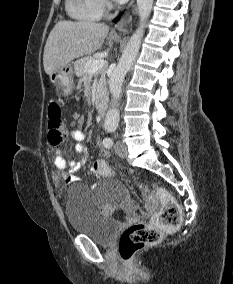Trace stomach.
<instances>
[{
  "label": "stomach",
  "instance_id": "stomach-1",
  "mask_svg": "<svg viewBox=\"0 0 233 284\" xmlns=\"http://www.w3.org/2000/svg\"><path fill=\"white\" fill-rule=\"evenodd\" d=\"M73 67L68 64L50 75V81L56 86V90L61 96H68L73 91Z\"/></svg>",
  "mask_w": 233,
  "mask_h": 284
}]
</instances>
